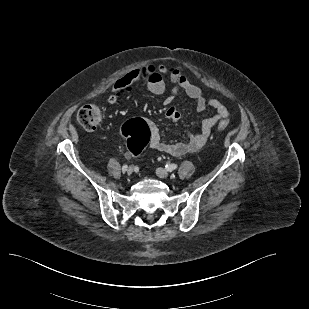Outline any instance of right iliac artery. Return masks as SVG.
<instances>
[{
    "mask_svg": "<svg viewBox=\"0 0 309 309\" xmlns=\"http://www.w3.org/2000/svg\"><path fill=\"white\" fill-rule=\"evenodd\" d=\"M127 168H128V166H127V165H123V166H122V171H124V172H125V171L127 170Z\"/></svg>",
    "mask_w": 309,
    "mask_h": 309,
    "instance_id": "right-iliac-artery-1",
    "label": "right iliac artery"
}]
</instances>
